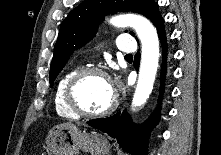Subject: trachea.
Instances as JSON below:
<instances>
[{"label": "trachea", "instance_id": "trachea-1", "mask_svg": "<svg viewBox=\"0 0 221 155\" xmlns=\"http://www.w3.org/2000/svg\"><path fill=\"white\" fill-rule=\"evenodd\" d=\"M125 57L126 58H132V54H127Z\"/></svg>", "mask_w": 221, "mask_h": 155}]
</instances>
